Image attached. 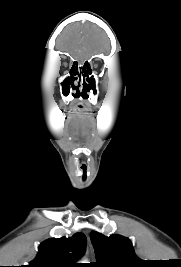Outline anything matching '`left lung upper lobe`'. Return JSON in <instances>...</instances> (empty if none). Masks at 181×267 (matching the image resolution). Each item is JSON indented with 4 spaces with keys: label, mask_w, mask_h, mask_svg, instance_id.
Wrapping results in <instances>:
<instances>
[{
    "label": "left lung upper lobe",
    "mask_w": 181,
    "mask_h": 267,
    "mask_svg": "<svg viewBox=\"0 0 181 267\" xmlns=\"http://www.w3.org/2000/svg\"><path fill=\"white\" fill-rule=\"evenodd\" d=\"M96 263L93 267H144L146 262L139 259L133 250L131 241L121 235L106 237L98 232L90 235Z\"/></svg>",
    "instance_id": "obj_1"
}]
</instances>
